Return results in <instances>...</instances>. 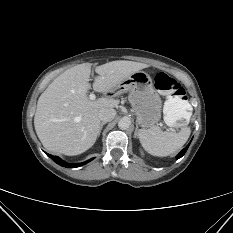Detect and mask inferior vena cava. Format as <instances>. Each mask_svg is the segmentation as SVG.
I'll return each mask as SVG.
<instances>
[{"mask_svg":"<svg viewBox=\"0 0 233 233\" xmlns=\"http://www.w3.org/2000/svg\"><path fill=\"white\" fill-rule=\"evenodd\" d=\"M116 111L112 108L102 109L98 113L99 120L102 122H109L114 119Z\"/></svg>","mask_w":233,"mask_h":233,"instance_id":"1","label":"inferior vena cava"}]
</instances>
